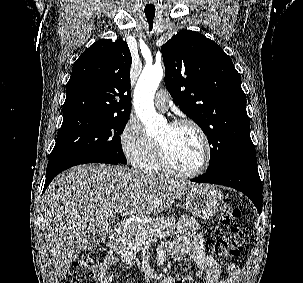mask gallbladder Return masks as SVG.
I'll return each instance as SVG.
<instances>
[{"label": "gallbladder", "mask_w": 303, "mask_h": 283, "mask_svg": "<svg viewBox=\"0 0 303 283\" xmlns=\"http://www.w3.org/2000/svg\"><path fill=\"white\" fill-rule=\"evenodd\" d=\"M106 238V231L97 229L91 234L89 247H95L104 242Z\"/></svg>", "instance_id": "1"}]
</instances>
